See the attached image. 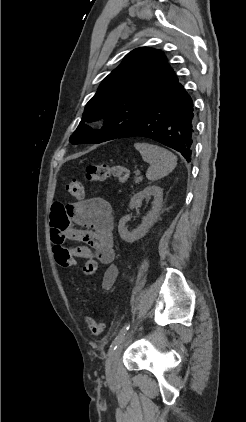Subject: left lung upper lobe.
I'll use <instances>...</instances> for the list:
<instances>
[{
	"label": "left lung upper lobe",
	"mask_w": 246,
	"mask_h": 422,
	"mask_svg": "<svg viewBox=\"0 0 246 422\" xmlns=\"http://www.w3.org/2000/svg\"><path fill=\"white\" fill-rule=\"evenodd\" d=\"M175 77L161 51L134 49L86 104L82 119L91 122L105 117V127L92 130L81 122L70 142L101 143L118 138L146 113Z\"/></svg>",
	"instance_id": "1"
}]
</instances>
